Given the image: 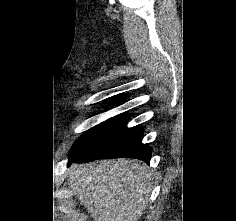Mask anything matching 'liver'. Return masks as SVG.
I'll use <instances>...</instances> for the list:
<instances>
[{
    "mask_svg": "<svg viewBox=\"0 0 236 221\" xmlns=\"http://www.w3.org/2000/svg\"><path fill=\"white\" fill-rule=\"evenodd\" d=\"M68 185L94 221H138L148 204L151 176L133 159L73 165Z\"/></svg>",
    "mask_w": 236,
    "mask_h": 221,
    "instance_id": "obj_1",
    "label": "liver"
}]
</instances>
